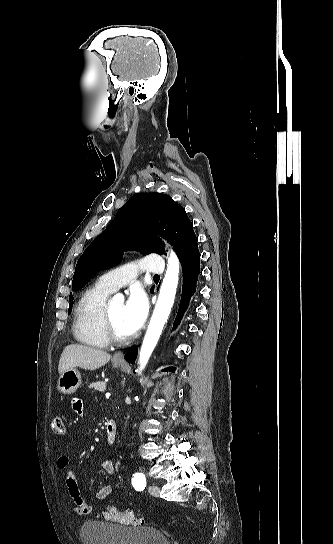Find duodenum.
I'll return each instance as SVG.
<instances>
[{"label": "duodenum", "instance_id": "410a0bca", "mask_svg": "<svg viewBox=\"0 0 333 544\" xmlns=\"http://www.w3.org/2000/svg\"><path fill=\"white\" fill-rule=\"evenodd\" d=\"M116 438V424L114 421L109 420L106 423L105 440L108 444H112Z\"/></svg>", "mask_w": 333, "mask_h": 544}]
</instances>
